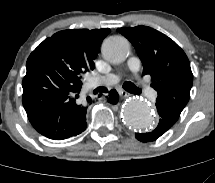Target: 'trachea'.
I'll use <instances>...</instances> for the list:
<instances>
[{
	"label": "trachea",
	"mask_w": 215,
	"mask_h": 183,
	"mask_svg": "<svg viewBox=\"0 0 215 183\" xmlns=\"http://www.w3.org/2000/svg\"><path fill=\"white\" fill-rule=\"evenodd\" d=\"M123 88L128 91V92H137L138 91V88L131 82H125L123 84Z\"/></svg>",
	"instance_id": "trachea-1"
}]
</instances>
